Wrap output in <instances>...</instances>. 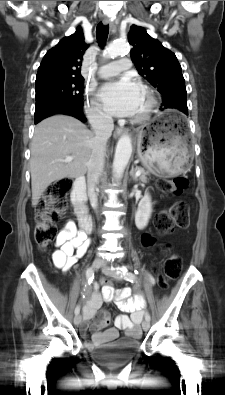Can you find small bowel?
Returning a JSON list of instances; mask_svg holds the SVG:
<instances>
[{"mask_svg": "<svg viewBox=\"0 0 225 395\" xmlns=\"http://www.w3.org/2000/svg\"><path fill=\"white\" fill-rule=\"evenodd\" d=\"M89 244L90 241L84 231H77L73 223H67L56 241L58 248L53 253L54 264L65 271L71 269L78 259L85 255ZM148 279L153 281L151 275H148ZM130 294L129 288H123L115 294L112 285H103L102 295L95 292L83 307V323L81 327L83 335L86 334L89 328H92L94 330L92 342L95 345H102L116 339L119 330L129 337L139 338L141 336L139 323L142 318L144 300L140 295L131 297ZM102 298L107 301L115 298L118 308L123 312L130 313V316L124 314L117 316L115 327L108 328L111 318L106 311L100 310ZM93 319L96 320L91 324L90 322Z\"/></svg>", "mask_w": 225, "mask_h": 395, "instance_id": "c3829d8e", "label": "small bowel"}]
</instances>
